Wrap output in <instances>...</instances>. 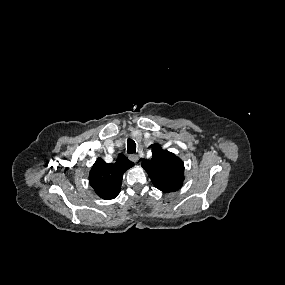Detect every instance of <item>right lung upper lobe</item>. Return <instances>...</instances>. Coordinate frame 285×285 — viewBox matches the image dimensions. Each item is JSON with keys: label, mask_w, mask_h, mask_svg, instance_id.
<instances>
[{"label": "right lung upper lobe", "mask_w": 285, "mask_h": 285, "mask_svg": "<svg viewBox=\"0 0 285 285\" xmlns=\"http://www.w3.org/2000/svg\"><path fill=\"white\" fill-rule=\"evenodd\" d=\"M133 166L123 154L119 155L115 163L110 164L98 158L89 173V183L100 198L114 199L121 190L124 172Z\"/></svg>", "instance_id": "cb5924a9"}]
</instances>
